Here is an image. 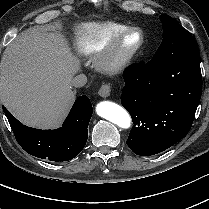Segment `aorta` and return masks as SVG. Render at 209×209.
Instances as JSON below:
<instances>
[{
	"label": "aorta",
	"mask_w": 209,
	"mask_h": 209,
	"mask_svg": "<svg viewBox=\"0 0 209 209\" xmlns=\"http://www.w3.org/2000/svg\"><path fill=\"white\" fill-rule=\"evenodd\" d=\"M97 114L116 124L117 126L127 129L131 125V118L128 112L116 103L102 101L96 106Z\"/></svg>",
	"instance_id": "obj_1"
}]
</instances>
